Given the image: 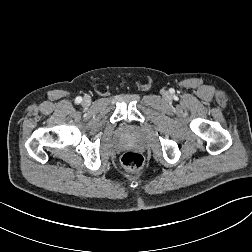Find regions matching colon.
Masks as SVG:
<instances>
[{"mask_svg":"<svg viewBox=\"0 0 252 252\" xmlns=\"http://www.w3.org/2000/svg\"><path fill=\"white\" fill-rule=\"evenodd\" d=\"M143 163V156L135 151L126 152L121 157L122 166L131 171L139 170L143 166Z\"/></svg>","mask_w":252,"mask_h":252,"instance_id":"1","label":"colon"}]
</instances>
